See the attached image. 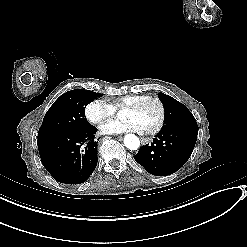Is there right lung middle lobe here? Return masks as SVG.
Listing matches in <instances>:
<instances>
[{"mask_svg": "<svg viewBox=\"0 0 247 247\" xmlns=\"http://www.w3.org/2000/svg\"><path fill=\"white\" fill-rule=\"evenodd\" d=\"M100 96L102 94L83 89L62 94L45 114L38 137L52 132L81 130L88 127L90 124L84 118L85 107Z\"/></svg>", "mask_w": 247, "mask_h": 247, "instance_id": "dd1d6c3e", "label": "right lung middle lobe"}]
</instances>
